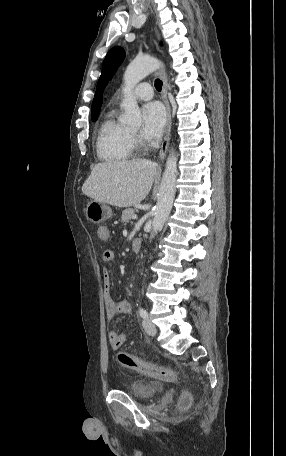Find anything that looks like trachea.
I'll list each match as a JSON object with an SVG mask.
<instances>
[{
	"label": "trachea",
	"mask_w": 286,
	"mask_h": 456,
	"mask_svg": "<svg viewBox=\"0 0 286 456\" xmlns=\"http://www.w3.org/2000/svg\"><path fill=\"white\" fill-rule=\"evenodd\" d=\"M155 88L157 91H161L162 89V81L160 79L155 80Z\"/></svg>",
	"instance_id": "obj_1"
}]
</instances>
